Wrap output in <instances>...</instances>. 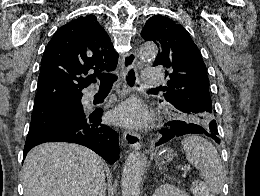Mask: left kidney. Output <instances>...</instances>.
Returning <instances> with one entry per match:
<instances>
[{
	"label": "left kidney",
	"instance_id": "1",
	"mask_svg": "<svg viewBox=\"0 0 260 196\" xmlns=\"http://www.w3.org/2000/svg\"><path fill=\"white\" fill-rule=\"evenodd\" d=\"M153 196H187L184 190L171 186V184H162L157 190H155Z\"/></svg>",
	"mask_w": 260,
	"mask_h": 196
}]
</instances>
